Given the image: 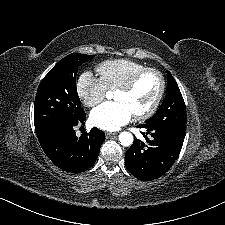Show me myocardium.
I'll use <instances>...</instances> for the list:
<instances>
[{
    "label": "myocardium",
    "instance_id": "1",
    "mask_svg": "<svg viewBox=\"0 0 225 225\" xmlns=\"http://www.w3.org/2000/svg\"><path fill=\"white\" fill-rule=\"evenodd\" d=\"M147 73H153L158 77L159 89H158L157 96H156L154 102L152 103V105L146 111L134 115V118L136 120L147 119L150 116H152L158 109V107L163 99V96L165 93V88H166V82H165V78H164L163 74L155 68L146 67V68H143L140 71L136 72L124 85H122L116 89V91H120V92H124V93L131 92L134 89V87L136 86V84L138 83V81Z\"/></svg>",
    "mask_w": 225,
    "mask_h": 225
}]
</instances>
